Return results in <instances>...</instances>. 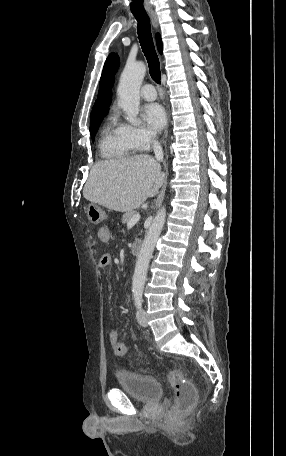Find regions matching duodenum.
<instances>
[{
  "mask_svg": "<svg viewBox=\"0 0 286 456\" xmlns=\"http://www.w3.org/2000/svg\"><path fill=\"white\" fill-rule=\"evenodd\" d=\"M141 247H142V243L140 240H135L132 242L131 244V252L134 254V255H138L141 251Z\"/></svg>",
  "mask_w": 286,
  "mask_h": 456,
  "instance_id": "obj_1",
  "label": "duodenum"
}]
</instances>
